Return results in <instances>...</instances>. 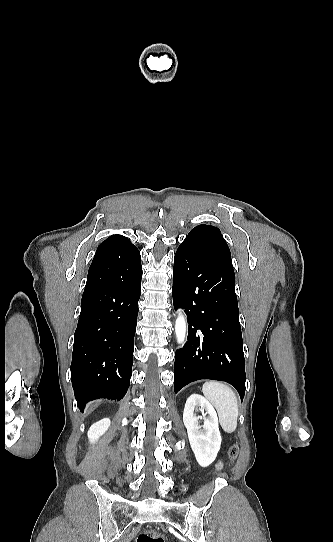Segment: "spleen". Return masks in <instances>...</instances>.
<instances>
[{"label": "spleen", "mask_w": 333, "mask_h": 542, "mask_svg": "<svg viewBox=\"0 0 333 542\" xmlns=\"http://www.w3.org/2000/svg\"><path fill=\"white\" fill-rule=\"evenodd\" d=\"M202 392L217 410L219 424L227 434H232L237 428L239 408L235 392L227 384L221 382H205Z\"/></svg>", "instance_id": "obj_1"}]
</instances>
